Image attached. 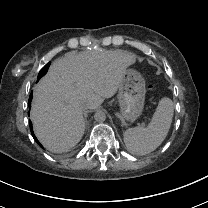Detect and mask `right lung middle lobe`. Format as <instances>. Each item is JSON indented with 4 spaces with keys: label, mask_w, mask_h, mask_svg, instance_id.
I'll return each mask as SVG.
<instances>
[{
    "label": "right lung middle lobe",
    "mask_w": 208,
    "mask_h": 208,
    "mask_svg": "<svg viewBox=\"0 0 208 208\" xmlns=\"http://www.w3.org/2000/svg\"><path fill=\"white\" fill-rule=\"evenodd\" d=\"M46 73V66L39 72L37 79L39 80Z\"/></svg>",
    "instance_id": "obj_1"
}]
</instances>
